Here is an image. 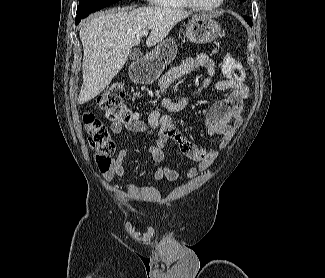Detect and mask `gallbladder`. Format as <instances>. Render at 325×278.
<instances>
[{"label":"gallbladder","mask_w":325,"mask_h":278,"mask_svg":"<svg viewBox=\"0 0 325 278\" xmlns=\"http://www.w3.org/2000/svg\"><path fill=\"white\" fill-rule=\"evenodd\" d=\"M141 56V51L137 48H134L130 51V57L132 60H137Z\"/></svg>","instance_id":"gallbladder-1"}]
</instances>
